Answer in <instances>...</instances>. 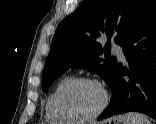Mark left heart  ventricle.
<instances>
[{
    "label": "left heart ventricle",
    "instance_id": "1",
    "mask_svg": "<svg viewBox=\"0 0 156 124\" xmlns=\"http://www.w3.org/2000/svg\"><path fill=\"white\" fill-rule=\"evenodd\" d=\"M102 93L93 84H79L69 89L62 98L63 108L77 117L93 114L102 103Z\"/></svg>",
    "mask_w": 156,
    "mask_h": 124
}]
</instances>
